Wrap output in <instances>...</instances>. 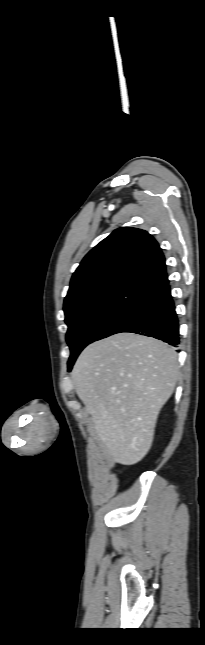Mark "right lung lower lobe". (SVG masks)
<instances>
[{
  "instance_id": "1",
  "label": "right lung lower lobe",
  "mask_w": 205,
  "mask_h": 645,
  "mask_svg": "<svg viewBox=\"0 0 205 645\" xmlns=\"http://www.w3.org/2000/svg\"><path fill=\"white\" fill-rule=\"evenodd\" d=\"M121 332L154 337L170 345L179 344L178 319L167 275L148 287L140 303L102 338Z\"/></svg>"
}]
</instances>
